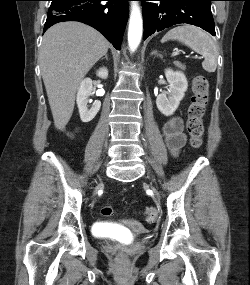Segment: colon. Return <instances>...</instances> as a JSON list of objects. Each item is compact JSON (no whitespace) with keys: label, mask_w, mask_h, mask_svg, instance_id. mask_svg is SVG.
Returning a JSON list of instances; mask_svg holds the SVG:
<instances>
[{"label":"colon","mask_w":250,"mask_h":285,"mask_svg":"<svg viewBox=\"0 0 250 285\" xmlns=\"http://www.w3.org/2000/svg\"><path fill=\"white\" fill-rule=\"evenodd\" d=\"M192 98L188 108L187 131L190 136V144L194 148H199L203 142L204 124L203 117L206 111L209 98V82L203 75H195L192 78ZM104 217H110L113 214V208L105 205L101 209ZM143 217L146 221L152 222L157 218V210L154 207H147L143 211ZM118 262H123L122 254L117 256Z\"/></svg>","instance_id":"colon-1"}]
</instances>
